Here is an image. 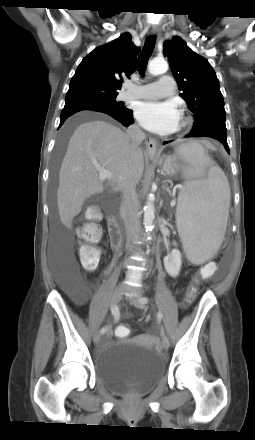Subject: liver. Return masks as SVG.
I'll list each match as a JSON object with an SVG mask.
<instances>
[{
  "instance_id": "obj_1",
  "label": "liver",
  "mask_w": 255,
  "mask_h": 440,
  "mask_svg": "<svg viewBox=\"0 0 255 440\" xmlns=\"http://www.w3.org/2000/svg\"><path fill=\"white\" fill-rule=\"evenodd\" d=\"M130 145L126 133L102 120L87 121L75 129L59 171L57 206L64 226L71 228L84 201L104 191L97 167L112 173L108 184L114 192L122 191L128 182L135 186L139 183L144 170L143 151H133Z\"/></svg>"
}]
</instances>
